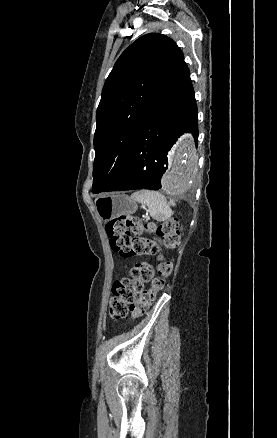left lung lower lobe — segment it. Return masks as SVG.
<instances>
[{
  "instance_id": "1",
  "label": "left lung lower lobe",
  "mask_w": 277,
  "mask_h": 438,
  "mask_svg": "<svg viewBox=\"0 0 277 438\" xmlns=\"http://www.w3.org/2000/svg\"><path fill=\"white\" fill-rule=\"evenodd\" d=\"M188 131L197 140V114L150 98L140 114L129 159L118 179L104 191L161 188L160 178L168 168L167 153Z\"/></svg>"
}]
</instances>
